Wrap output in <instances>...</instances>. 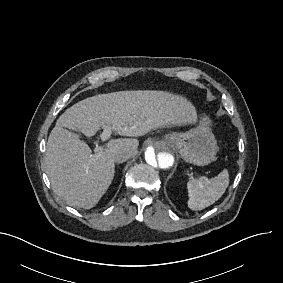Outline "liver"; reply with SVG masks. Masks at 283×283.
<instances>
[{"label":"liver","mask_w":283,"mask_h":283,"mask_svg":"<svg viewBox=\"0 0 283 283\" xmlns=\"http://www.w3.org/2000/svg\"><path fill=\"white\" fill-rule=\"evenodd\" d=\"M198 122L196 110L181 96L161 91H122L97 95L67 109L47 143L46 173L53 191L72 206L98 204L115 175V152L129 148L137 154V139L110 140L92 154L87 140L109 126L119 136L141 137L155 129L186 127Z\"/></svg>","instance_id":"1"}]
</instances>
